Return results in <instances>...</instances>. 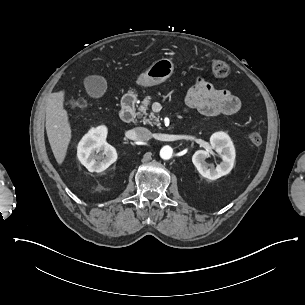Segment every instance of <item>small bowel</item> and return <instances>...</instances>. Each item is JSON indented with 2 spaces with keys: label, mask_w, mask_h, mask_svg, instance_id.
I'll list each match as a JSON object with an SVG mask.
<instances>
[{
  "label": "small bowel",
  "mask_w": 305,
  "mask_h": 305,
  "mask_svg": "<svg viewBox=\"0 0 305 305\" xmlns=\"http://www.w3.org/2000/svg\"><path fill=\"white\" fill-rule=\"evenodd\" d=\"M186 110H198L202 115L213 117L238 112L240 100L230 91L217 89L202 77H197L186 95Z\"/></svg>",
  "instance_id": "c3829d8e"
}]
</instances>
